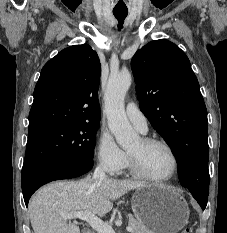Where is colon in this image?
<instances>
[{
	"mask_svg": "<svg viewBox=\"0 0 227 233\" xmlns=\"http://www.w3.org/2000/svg\"><path fill=\"white\" fill-rule=\"evenodd\" d=\"M179 233H192V232L189 228H184V229L180 230Z\"/></svg>",
	"mask_w": 227,
	"mask_h": 233,
	"instance_id": "5ec220e1",
	"label": "colon"
}]
</instances>
